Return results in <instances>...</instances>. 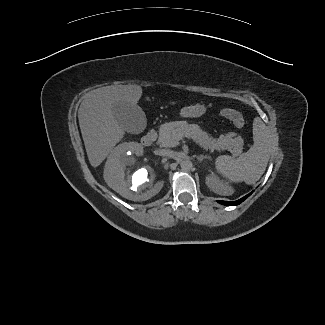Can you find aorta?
Here are the masks:
<instances>
[{
    "instance_id": "1",
    "label": "aorta",
    "mask_w": 325,
    "mask_h": 325,
    "mask_svg": "<svg viewBox=\"0 0 325 325\" xmlns=\"http://www.w3.org/2000/svg\"><path fill=\"white\" fill-rule=\"evenodd\" d=\"M192 162L190 160H183L181 163H180V167L183 171H190L191 168H192Z\"/></svg>"
}]
</instances>
